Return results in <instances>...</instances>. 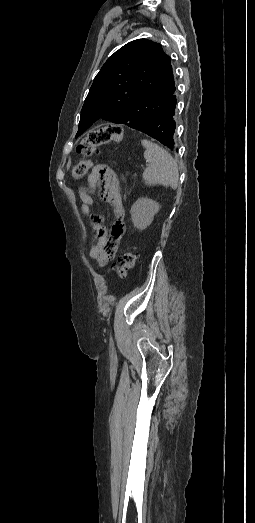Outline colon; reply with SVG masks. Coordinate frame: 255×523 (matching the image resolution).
<instances>
[{"instance_id": "1", "label": "colon", "mask_w": 255, "mask_h": 523, "mask_svg": "<svg viewBox=\"0 0 255 523\" xmlns=\"http://www.w3.org/2000/svg\"><path fill=\"white\" fill-rule=\"evenodd\" d=\"M122 128L115 125H109L90 131L78 144L77 151L81 155L75 166L72 168V175L76 179L84 177L92 166L91 157L96 149L104 144H117L122 140ZM137 253L134 251H125L119 256V266L116 272L120 277H126L127 272L132 269L137 262Z\"/></svg>"}]
</instances>
